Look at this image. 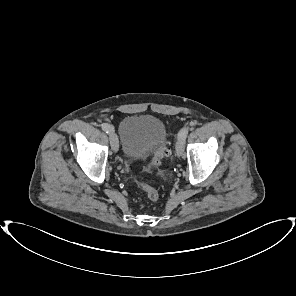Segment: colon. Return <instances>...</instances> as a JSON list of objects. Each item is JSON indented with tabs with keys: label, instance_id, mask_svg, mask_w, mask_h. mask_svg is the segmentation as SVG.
<instances>
[{
	"label": "colon",
	"instance_id": "colon-1",
	"mask_svg": "<svg viewBox=\"0 0 296 296\" xmlns=\"http://www.w3.org/2000/svg\"><path fill=\"white\" fill-rule=\"evenodd\" d=\"M170 154V149L168 147V144L164 142L155 152L153 158L151 159L150 163L148 164V167L156 166L160 163L161 158L168 156ZM139 188L143 190L147 197L151 201H156L159 197V194L157 190L145 183H139Z\"/></svg>",
	"mask_w": 296,
	"mask_h": 296
}]
</instances>
